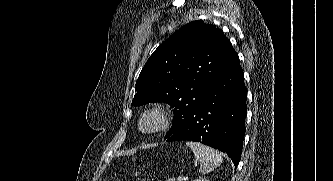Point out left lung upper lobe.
I'll list each match as a JSON object with an SVG mask.
<instances>
[{
	"instance_id": "left-lung-upper-lobe-1",
	"label": "left lung upper lobe",
	"mask_w": 333,
	"mask_h": 181,
	"mask_svg": "<svg viewBox=\"0 0 333 181\" xmlns=\"http://www.w3.org/2000/svg\"><path fill=\"white\" fill-rule=\"evenodd\" d=\"M237 57L221 30L192 21L150 56L136 82L132 105L168 103L177 119L201 104L208 86Z\"/></svg>"
}]
</instances>
